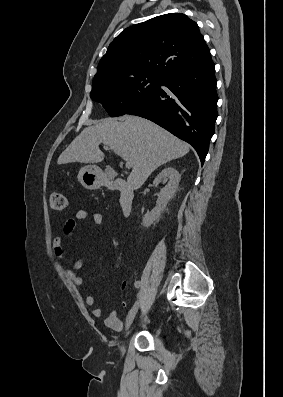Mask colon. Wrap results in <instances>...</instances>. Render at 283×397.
Instances as JSON below:
<instances>
[{
	"mask_svg": "<svg viewBox=\"0 0 283 397\" xmlns=\"http://www.w3.org/2000/svg\"><path fill=\"white\" fill-rule=\"evenodd\" d=\"M50 206L54 210H64L67 207V199L62 193L54 192L50 195Z\"/></svg>",
	"mask_w": 283,
	"mask_h": 397,
	"instance_id": "obj_1",
	"label": "colon"
}]
</instances>
